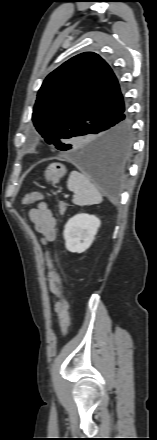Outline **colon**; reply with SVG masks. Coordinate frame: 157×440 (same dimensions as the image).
Listing matches in <instances>:
<instances>
[{"label":"colon","instance_id":"obj_1","mask_svg":"<svg viewBox=\"0 0 157 440\" xmlns=\"http://www.w3.org/2000/svg\"><path fill=\"white\" fill-rule=\"evenodd\" d=\"M42 199V195L38 192H31L24 196L23 203L24 204H32L37 201H40ZM49 266L52 269V273L54 276V279L56 281V284L59 288V300L56 304V311L59 314L60 321H61V328L63 335L66 336L68 334L69 326H70V319L68 314V302L65 296V290L63 285V279L61 277V274L58 270L57 265L55 262L51 259L49 260Z\"/></svg>","mask_w":157,"mask_h":440}]
</instances>
